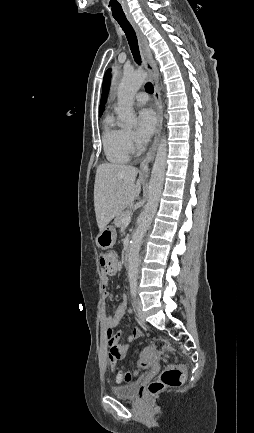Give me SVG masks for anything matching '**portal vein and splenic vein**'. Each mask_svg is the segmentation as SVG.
Instances as JSON below:
<instances>
[{"mask_svg":"<svg viewBox=\"0 0 254 433\" xmlns=\"http://www.w3.org/2000/svg\"><path fill=\"white\" fill-rule=\"evenodd\" d=\"M130 221H131V216H130V215L125 216V217L123 218V220H122L123 224H129Z\"/></svg>","mask_w":254,"mask_h":433,"instance_id":"1","label":"portal vein and splenic vein"}]
</instances>
